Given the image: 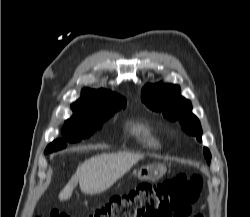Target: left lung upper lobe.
Returning <instances> with one entry per match:
<instances>
[{"label":"left lung upper lobe","instance_id":"1","mask_svg":"<svg viewBox=\"0 0 250 217\" xmlns=\"http://www.w3.org/2000/svg\"><path fill=\"white\" fill-rule=\"evenodd\" d=\"M142 101L153 111L162 113L168 120L179 121L187 134L196 136L197 140L201 142V124L191 112V102L180 96L178 85L147 84L142 90ZM203 152L207 162L210 163L209 149L204 147Z\"/></svg>","mask_w":250,"mask_h":217}]
</instances>
